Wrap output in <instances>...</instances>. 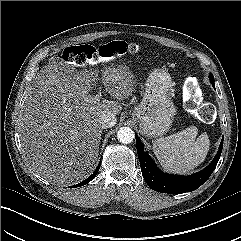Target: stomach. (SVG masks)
I'll return each instance as SVG.
<instances>
[{
	"instance_id": "obj_1",
	"label": "stomach",
	"mask_w": 241,
	"mask_h": 241,
	"mask_svg": "<svg viewBox=\"0 0 241 241\" xmlns=\"http://www.w3.org/2000/svg\"><path fill=\"white\" fill-rule=\"evenodd\" d=\"M172 95L173 82L169 73L165 70L150 73L143 98L133 112L143 135L156 138L170 129L176 115Z\"/></svg>"
}]
</instances>
